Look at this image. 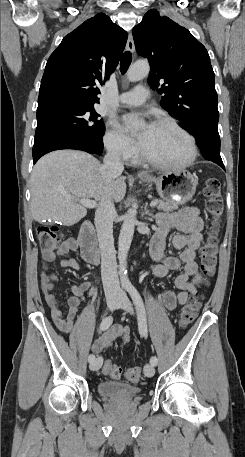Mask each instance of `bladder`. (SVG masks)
<instances>
[{
  "instance_id": "obj_1",
  "label": "bladder",
  "mask_w": 245,
  "mask_h": 457,
  "mask_svg": "<svg viewBox=\"0 0 245 457\" xmlns=\"http://www.w3.org/2000/svg\"><path fill=\"white\" fill-rule=\"evenodd\" d=\"M100 396H136L139 392L137 387L121 381H106L99 384Z\"/></svg>"
}]
</instances>
